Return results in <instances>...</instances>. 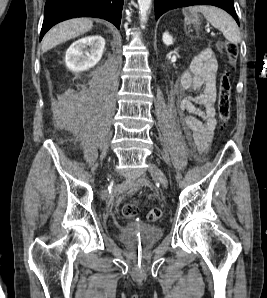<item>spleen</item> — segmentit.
<instances>
[{"label":"spleen","mask_w":267,"mask_h":298,"mask_svg":"<svg viewBox=\"0 0 267 298\" xmlns=\"http://www.w3.org/2000/svg\"><path fill=\"white\" fill-rule=\"evenodd\" d=\"M191 12H200L213 27L220 30L224 37L233 44L241 41L239 28L234 19L224 10L207 5H198L190 7Z\"/></svg>","instance_id":"3e777b00"}]
</instances>
